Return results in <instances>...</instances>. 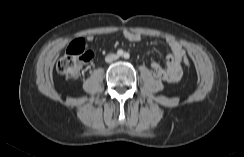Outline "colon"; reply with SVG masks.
I'll list each match as a JSON object with an SVG mask.
<instances>
[{
    "mask_svg": "<svg viewBox=\"0 0 244 157\" xmlns=\"http://www.w3.org/2000/svg\"><path fill=\"white\" fill-rule=\"evenodd\" d=\"M93 58V52L89 50L82 39H76L70 43L66 52L57 62V70L60 74L71 80H77L81 76L82 67ZM183 64L189 67L191 64L187 56L183 58Z\"/></svg>",
    "mask_w": 244,
    "mask_h": 157,
    "instance_id": "colon-1",
    "label": "colon"
}]
</instances>
